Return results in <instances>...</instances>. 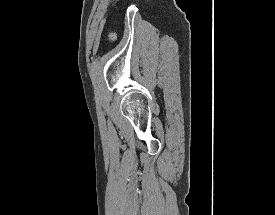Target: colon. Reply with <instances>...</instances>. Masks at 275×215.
I'll return each mask as SVG.
<instances>
[{"mask_svg": "<svg viewBox=\"0 0 275 215\" xmlns=\"http://www.w3.org/2000/svg\"><path fill=\"white\" fill-rule=\"evenodd\" d=\"M109 38H110V39H113V38H114L113 33H109Z\"/></svg>", "mask_w": 275, "mask_h": 215, "instance_id": "colon-1", "label": "colon"}]
</instances>
